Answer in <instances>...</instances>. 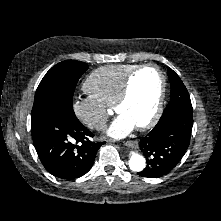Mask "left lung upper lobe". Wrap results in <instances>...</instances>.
<instances>
[{
	"label": "left lung upper lobe",
	"mask_w": 221,
	"mask_h": 221,
	"mask_svg": "<svg viewBox=\"0 0 221 221\" xmlns=\"http://www.w3.org/2000/svg\"><path fill=\"white\" fill-rule=\"evenodd\" d=\"M168 75L171 87V96L165 110L180 105L192 106L189 93L179 76L169 67Z\"/></svg>",
	"instance_id": "5c2ea615"
}]
</instances>
